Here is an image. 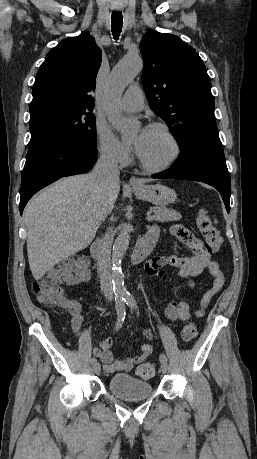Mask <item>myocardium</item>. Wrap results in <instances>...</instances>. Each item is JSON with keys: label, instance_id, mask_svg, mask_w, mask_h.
I'll list each match as a JSON object with an SVG mask.
<instances>
[{"label": "myocardium", "instance_id": "f54148a6", "mask_svg": "<svg viewBox=\"0 0 257 459\" xmlns=\"http://www.w3.org/2000/svg\"><path fill=\"white\" fill-rule=\"evenodd\" d=\"M148 128L157 129V130L162 131L170 139V141L172 142L174 151H173V154L170 157V159L168 161H166L165 163L161 164V165L148 164L140 156L138 151H136V155H137V158L139 160V163H140L142 168H144L145 170H147L149 172H154L155 173V172H163L165 170H168L169 168H171L178 161V159L181 156V151L182 150H181L180 142H179L178 138L176 137V135L165 124L155 122V123L149 124Z\"/></svg>", "mask_w": 257, "mask_h": 459}]
</instances>
